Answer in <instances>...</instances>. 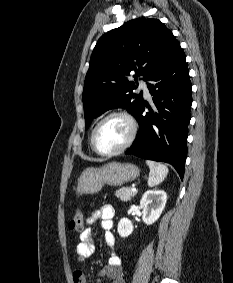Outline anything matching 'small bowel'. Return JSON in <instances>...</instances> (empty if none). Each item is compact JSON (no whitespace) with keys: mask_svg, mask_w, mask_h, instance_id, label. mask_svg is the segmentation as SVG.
Here are the masks:
<instances>
[{"mask_svg":"<svg viewBox=\"0 0 233 283\" xmlns=\"http://www.w3.org/2000/svg\"><path fill=\"white\" fill-rule=\"evenodd\" d=\"M114 208L110 204H103L93 210L87 217V227L80 235V241L76 248V256L79 262H85L93 253V234L91 225L101 221L104 230V241L109 248L110 256L107 265L101 270L100 275L108 278L112 283H125L121 266V259L115 251V237L112 233ZM74 283H86L85 275L82 271L77 270L73 273Z\"/></svg>","mask_w":233,"mask_h":283,"instance_id":"obj_1","label":"small bowel"}]
</instances>
